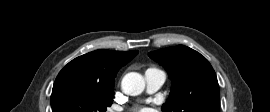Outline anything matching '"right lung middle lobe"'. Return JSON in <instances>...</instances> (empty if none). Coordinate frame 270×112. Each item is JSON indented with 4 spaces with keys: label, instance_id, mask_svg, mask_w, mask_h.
Here are the masks:
<instances>
[{
    "label": "right lung middle lobe",
    "instance_id": "1",
    "mask_svg": "<svg viewBox=\"0 0 270 112\" xmlns=\"http://www.w3.org/2000/svg\"><path fill=\"white\" fill-rule=\"evenodd\" d=\"M113 94V89L63 82L53 86L51 107L53 112H105Z\"/></svg>",
    "mask_w": 270,
    "mask_h": 112
}]
</instances>
